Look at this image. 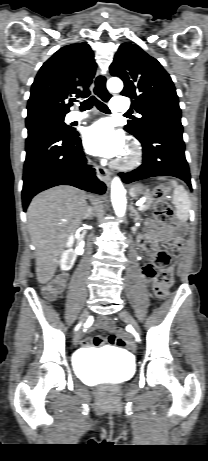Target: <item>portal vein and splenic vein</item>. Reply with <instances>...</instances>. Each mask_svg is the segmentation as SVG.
<instances>
[{"mask_svg": "<svg viewBox=\"0 0 208 461\" xmlns=\"http://www.w3.org/2000/svg\"><path fill=\"white\" fill-rule=\"evenodd\" d=\"M145 201H146V198L144 197L136 203V206H138L139 208L142 207Z\"/></svg>", "mask_w": 208, "mask_h": 461, "instance_id": "1", "label": "portal vein and splenic vein"}]
</instances>
